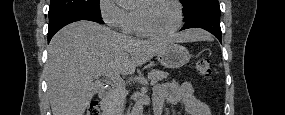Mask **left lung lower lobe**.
Here are the masks:
<instances>
[{"label":"left lung lower lobe","mask_w":285,"mask_h":115,"mask_svg":"<svg viewBox=\"0 0 285 115\" xmlns=\"http://www.w3.org/2000/svg\"><path fill=\"white\" fill-rule=\"evenodd\" d=\"M185 24L181 30L203 28L212 33L222 43L220 28V6L218 0L202 2L185 15Z\"/></svg>","instance_id":"1"}]
</instances>
